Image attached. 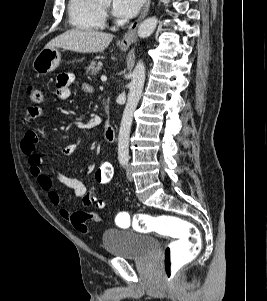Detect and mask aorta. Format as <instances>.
<instances>
[{
	"instance_id": "obj_1",
	"label": "aorta",
	"mask_w": 267,
	"mask_h": 301,
	"mask_svg": "<svg viewBox=\"0 0 267 301\" xmlns=\"http://www.w3.org/2000/svg\"><path fill=\"white\" fill-rule=\"evenodd\" d=\"M109 1V0H101ZM158 19L149 17L145 19L138 27V36L140 38L149 37L156 29ZM145 82V66L139 61L133 71L132 80L129 84V94L127 103L123 112L118 136V158L119 160H128L129 156V135L133 121V114L140 100Z\"/></svg>"
}]
</instances>
